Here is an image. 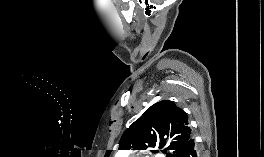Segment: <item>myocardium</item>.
<instances>
[{
	"label": "myocardium",
	"mask_w": 264,
	"mask_h": 157,
	"mask_svg": "<svg viewBox=\"0 0 264 157\" xmlns=\"http://www.w3.org/2000/svg\"><path fill=\"white\" fill-rule=\"evenodd\" d=\"M132 157H144V156H141V155H134Z\"/></svg>",
	"instance_id": "1"
}]
</instances>
